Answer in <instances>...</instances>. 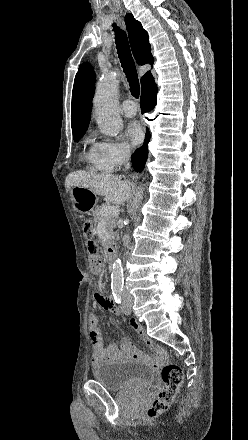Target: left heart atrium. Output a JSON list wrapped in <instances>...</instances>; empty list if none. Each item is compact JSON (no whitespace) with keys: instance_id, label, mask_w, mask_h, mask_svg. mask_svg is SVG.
Returning <instances> with one entry per match:
<instances>
[{"instance_id":"left-heart-atrium-1","label":"left heart atrium","mask_w":248,"mask_h":440,"mask_svg":"<svg viewBox=\"0 0 248 440\" xmlns=\"http://www.w3.org/2000/svg\"><path fill=\"white\" fill-rule=\"evenodd\" d=\"M125 135L130 140L132 145L140 144L143 139L142 128L135 121H132L127 125Z\"/></svg>"}]
</instances>
